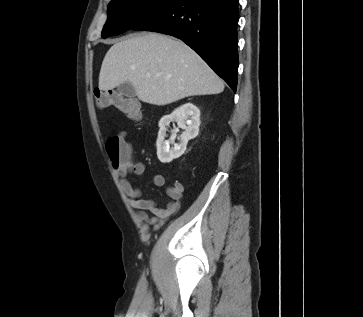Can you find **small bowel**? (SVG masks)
Segmentation results:
<instances>
[{"label": "small bowel", "mask_w": 363, "mask_h": 317, "mask_svg": "<svg viewBox=\"0 0 363 317\" xmlns=\"http://www.w3.org/2000/svg\"><path fill=\"white\" fill-rule=\"evenodd\" d=\"M121 135L125 137L126 133L123 132ZM114 169L119 178L120 185L127 195L129 205L137 210L138 217L145 223L158 227L179 211L184 191L182 183L176 181L167 188L170 201L166 208H160L155 200L142 198L141 190L134 187L128 178L130 172H133L135 175H143L146 171L144 163L129 160L120 166H115ZM152 183L157 187H161L165 184V177L162 174L156 173L152 176ZM148 213H151L152 216H149Z\"/></svg>", "instance_id": "c3829d8e"}]
</instances>
